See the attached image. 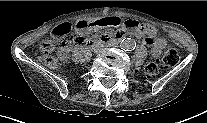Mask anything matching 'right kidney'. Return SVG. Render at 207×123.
<instances>
[{"label":"right kidney","instance_id":"right-kidney-1","mask_svg":"<svg viewBox=\"0 0 207 123\" xmlns=\"http://www.w3.org/2000/svg\"><path fill=\"white\" fill-rule=\"evenodd\" d=\"M61 59H62L64 62H67V61H68V57L65 56V55H61Z\"/></svg>","mask_w":207,"mask_h":123}]
</instances>
